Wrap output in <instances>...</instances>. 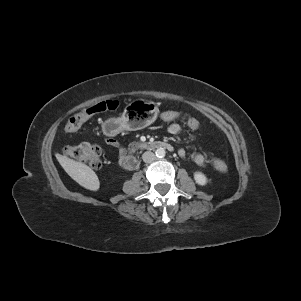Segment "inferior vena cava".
<instances>
[{
	"mask_svg": "<svg viewBox=\"0 0 301 301\" xmlns=\"http://www.w3.org/2000/svg\"><path fill=\"white\" fill-rule=\"evenodd\" d=\"M142 159L145 163H151L155 160V155L153 152L147 151L143 153Z\"/></svg>",
	"mask_w": 301,
	"mask_h": 301,
	"instance_id": "1",
	"label": "inferior vena cava"
}]
</instances>
